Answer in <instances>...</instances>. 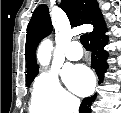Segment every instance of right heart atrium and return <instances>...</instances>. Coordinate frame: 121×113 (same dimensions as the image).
I'll list each match as a JSON object with an SVG mask.
<instances>
[{
    "label": "right heart atrium",
    "mask_w": 121,
    "mask_h": 113,
    "mask_svg": "<svg viewBox=\"0 0 121 113\" xmlns=\"http://www.w3.org/2000/svg\"><path fill=\"white\" fill-rule=\"evenodd\" d=\"M33 93L48 113H70L78 109V100L62 86L56 72H43L35 82Z\"/></svg>",
    "instance_id": "obj_1"
}]
</instances>
